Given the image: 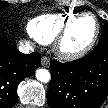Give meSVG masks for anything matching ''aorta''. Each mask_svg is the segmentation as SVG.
Listing matches in <instances>:
<instances>
[{"mask_svg": "<svg viewBox=\"0 0 108 108\" xmlns=\"http://www.w3.org/2000/svg\"><path fill=\"white\" fill-rule=\"evenodd\" d=\"M36 78L40 81V82H44L47 83L50 81V72L46 69H38L36 71Z\"/></svg>", "mask_w": 108, "mask_h": 108, "instance_id": "762f6f07", "label": "aorta"}]
</instances>
